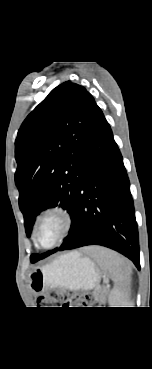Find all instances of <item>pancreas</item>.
<instances>
[{
    "mask_svg": "<svg viewBox=\"0 0 152 369\" xmlns=\"http://www.w3.org/2000/svg\"><path fill=\"white\" fill-rule=\"evenodd\" d=\"M94 297L97 298L98 297V292H94Z\"/></svg>",
    "mask_w": 152,
    "mask_h": 369,
    "instance_id": "pancreas-1",
    "label": "pancreas"
}]
</instances>
